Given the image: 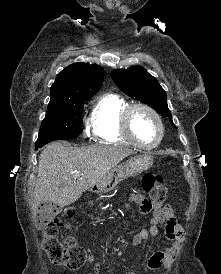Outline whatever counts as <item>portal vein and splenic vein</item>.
Segmentation results:
<instances>
[{
    "label": "portal vein and splenic vein",
    "mask_w": 221,
    "mask_h": 274,
    "mask_svg": "<svg viewBox=\"0 0 221 274\" xmlns=\"http://www.w3.org/2000/svg\"><path fill=\"white\" fill-rule=\"evenodd\" d=\"M81 176V173L80 172H76L75 175H74V178H78Z\"/></svg>",
    "instance_id": "1"
}]
</instances>
